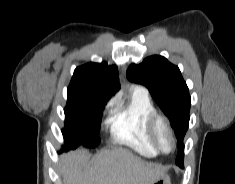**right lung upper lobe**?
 Wrapping results in <instances>:
<instances>
[{"label":"right lung upper lobe","instance_id":"cb5924a9","mask_svg":"<svg viewBox=\"0 0 235 184\" xmlns=\"http://www.w3.org/2000/svg\"><path fill=\"white\" fill-rule=\"evenodd\" d=\"M119 89L118 70L115 65L90 62L75 69L67 92L86 94L89 105H106Z\"/></svg>","mask_w":235,"mask_h":184}]
</instances>
